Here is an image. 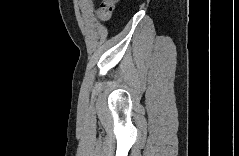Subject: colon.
Segmentation results:
<instances>
[{"mask_svg": "<svg viewBox=\"0 0 239 156\" xmlns=\"http://www.w3.org/2000/svg\"><path fill=\"white\" fill-rule=\"evenodd\" d=\"M114 5H115V1L114 0H104L101 4H100V16L102 19L106 20L108 19L111 14L112 11L114 9Z\"/></svg>", "mask_w": 239, "mask_h": 156, "instance_id": "obj_1", "label": "colon"}]
</instances>
